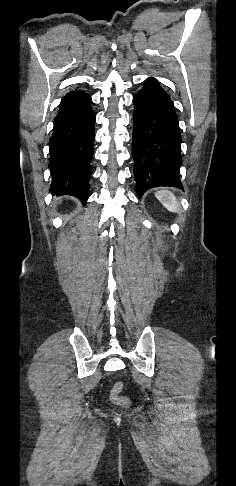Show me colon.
I'll return each mask as SVG.
<instances>
[{
  "label": "colon",
  "mask_w": 236,
  "mask_h": 486,
  "mask_svg": "<svg viewBox=\"0 0 236 486\" xmlns=\"http://www.w3.org/2000/svg\"><path fill=\"white\" fill-rule=\"evenodd\" d=\"M122 390V382H116L110 391V400L115 405L128 407L130 405V400L122 395Z\"/></svg>",
  "instance_id": "obj_1"
}]
</instances>
